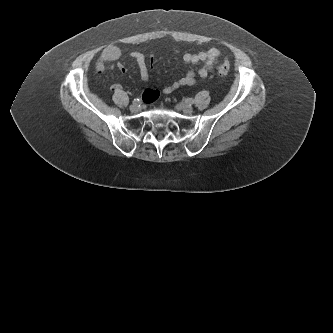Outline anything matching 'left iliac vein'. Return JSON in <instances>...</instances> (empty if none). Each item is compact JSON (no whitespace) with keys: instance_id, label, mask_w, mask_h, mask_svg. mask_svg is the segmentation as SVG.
I'll use <instances>...</instances> for the list:
<instances>
[{"instance_id":"1","label":"left iliac vein","mask_w":333,"mask_h":333,"mask_svg":"<svg viewBox=\"0 0 333 333\" xmlns=\"http://www.w3.org/2000/svg\"><path fill=\"white\" fill-rule=\"evenodd\" d=\"M177 106L180 110H182L186 114H191L193 112V108L189 104L179 103Z\"/></svg>"}]
</instances>
